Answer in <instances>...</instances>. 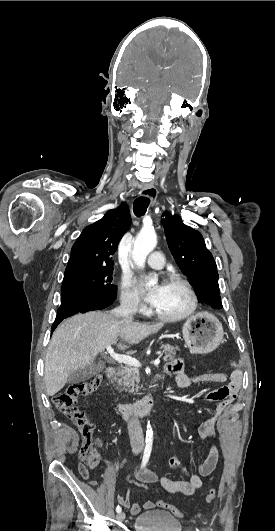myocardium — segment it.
Wrapping results in <instances>:
<instances>
[{"label":"myocardium","instance_id":"1","mask_svg":"<svg viewBox=\"0 0 275 531\" xmlns=\"http://www.w3.org/2000/svg\"><path fill=\"white\" fill-rule=\"evenodd\" d=\"M166 281H170V282H175L177 284H180L181 286H183L185 288V290L187 291L188 295H189V307L186 311H184L183 313L181 314H178V315H163V314H160L158 313L154 307L152 306L153 308V313L161 320L163 321H166V322H177V321H183L185 319H187L188 317H190L196 310L197 308V305H198V299H197V295H196V292L192 286V284L184 277L180 276V275H171L168 277V279Z\"/></svg>","mask_w":275,"mask_h":531}]
</instances>
